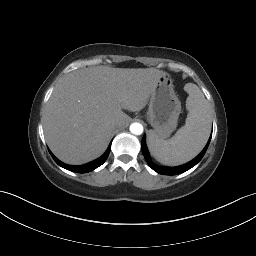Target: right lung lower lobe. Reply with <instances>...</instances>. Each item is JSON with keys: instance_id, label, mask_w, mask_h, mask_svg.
<instances>
[{"instance_id": "obj_1", "label": "right lung lower lobe", "mask_w": 256, "mask_h": 256, "mask_svg": "<svg viewBox=\"0 0 256 256\" xmlns=\"http://www.w3.org/2000/svg\"><path fill=\"white\" fill-rule=\"evenodd\" d=\"M110 149H111V144L109 145L107 151L98 159H96L95 161H92L90 163H87L85 165H79V166H71V165H67L62 163L60 160H58L49 150L52 158L54 159V161L60 165L61 167L73 171V172H77V173H87L90 172L94 169H96L97 167L101 166L107 159L109 153H110Z\"/></svg>"}]
</instances>
